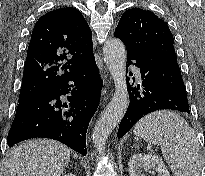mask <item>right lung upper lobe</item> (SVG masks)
I'll use <instances>...</instances> for the list:
<instances>
[{"mask_svg":"<svg viewBox=\"0 0 205 176\" xmlns=\"http://www.w3.org/2000/svg\"><path fill=\"white\" fill-rule=\"evenodd\" d=\"M93 58L92 32L80 11L46 13L31 35L19 99L35 97Z\"/></svg>","mask_w":205,"mask_h":176,"instance_id":"right-lung-upper-lobe-1","label":"right lung upper lobe"}]
</instances>
